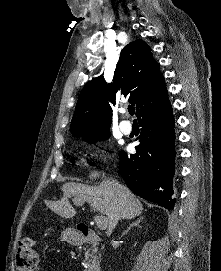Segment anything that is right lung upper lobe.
Masks as SVG:
<instances>
[{"label": "right lung upper lobe", "instance_id": "right-lung-upper-lobe-1", "mask_svg": "<svg viewBox=\"0 0 221 271\" xmlns=\"http://www.w3.org/2000/svg\"><path fill=\"white\" fill-rule=\"evenodd\" d=\"M120 93L136 106L138 119L168 102L159 64L142 39L122 49L112 84L107 85L98 77L82 89L70 126L72 135L79 137L110 130L112 109L109 103L115 105L116 94Z\"/></svg>", "mask_w": 221, "mask_h": 271}]
</instances>
